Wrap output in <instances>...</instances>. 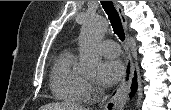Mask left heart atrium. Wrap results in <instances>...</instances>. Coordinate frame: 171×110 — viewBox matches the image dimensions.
I'll return each mask as SVG.
<instances>
[{
	"label": "left heart atrium",
	"mask_w": 171,
	"mask_h": 110,
	"mask_svg": "<svg viewBox=\"0 0 171 110\" xmlns=\"http://www.w3.org/2000/svg\"><path fill=\"white\" fill-rule=\"evenodd\" d=\"M124 72L125 68L120 60H105L99 66L98 81L105 86H111L121 79Z\"/></svg>",
	"instance_id": "left-heart-atrium-1"
}]
</instances>
